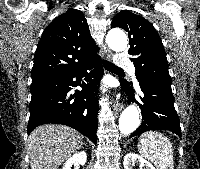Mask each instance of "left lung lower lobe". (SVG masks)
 Wrapping results in <instances>:
<instances>
[{"label":"left lung lower lobe","instance_id":"left-lung-lower-lobe-1","mask_svg":"<svg viewBox=\"0 0 200 169\" xmlns=\"http://www.w3.org/2000/svg\"><path fill=\"white\" fill-rule=\"evenodd\" d=\"M122 90L128 95V101H136L131 84L121 80ZM144 97H140L142 123L131 135L137 136L149 130H169L181 138L179 117L174 108V97L170 84L157 83L151 80L139 81Z\"/></svg>","mask_w":200,"mask_h":169}]
</instances>
